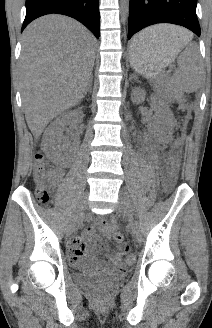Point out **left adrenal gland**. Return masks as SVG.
Masks as SVG:
<instances>
[{
  "label": "left adrenal gland",
  "mask_w": 212,
  "mask_h": 328,
  "mask_svg": "<svg viewBox=\"0 0 212 328\" xmlns=\"http://www.w3.org/2000/svg\"><path fill=\"white\" fill-rule=\"evenodd\" d=\"M131 78H134L135 80H138L137 76L135 74H132Z\"/></svg>",
  "instance_id": "1"
}]
</instances>
